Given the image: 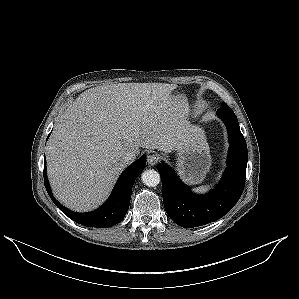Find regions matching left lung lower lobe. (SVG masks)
I'll return each mask as SVG.
<instances>
[{"label": "left lung lower lobe", "instance_id": "left-lung-lower-lobe-1", "mask_svg": "<svg viewBox=\"0 0 299 299\" xmlns=\"http://www.w3.org/2000/svg\"><path fill=\"white\" fill-rule=\"evenodd\" d=\"M229 135L228 166L216 190L206 194H193L174 171L166 164L157 166L162 181L163 202L169 217L179 226L193 228L213 222L227 212L239 200L245 184L247 145L237 117L227 104L217 110Z\"/></svg>", "mask_w": 299, "mask_h": 299}]
</instances>
